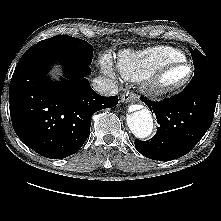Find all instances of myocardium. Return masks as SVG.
<instances>
[{"mask_svg": "<svg viewBox=\"0 0 221 221\" xmlns=\"http://www.w3.org/2000/svg\"><path fill=\"white\" fill-rule=\"evenodd\" d=\"M186 66L189 69L188 76L176 84H166L165 76L174 69ZM194 74L193 66L186 60L178 61L160 68L145 83L144 88L151 97L161 98L172 95L185 88L192 80Z\"/></svg>", "mask_w": 221, "mask_h": 221, "instance_id": "obj_1", "label": "myocardium"}]
</instances>
